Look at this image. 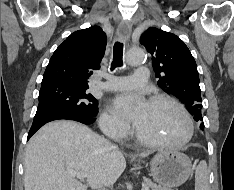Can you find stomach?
I'll return each mask as SVG.
<instances>
[{
  "label": "stomach",
  "mask_w": 234,
  "mask_h": 190,
  "mask_svg": "<svg viewBox=\"0 0 234 190\" xmlns=\"http://www.w3.org/2000/svg\"><path fill=\"white\" fill-rule=\"evenodd\" d=\"M191 171L190 159L175 150L158 151L150 161V176L159 186L167 189L184 184Z\"/></svg>",
  "instance_id": "1"
}]
</instances>
